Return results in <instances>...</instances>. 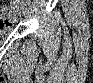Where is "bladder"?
<instances>
[{"mask_svg": "<svg viewBox=\"0 0 93 83\" xmlns=\"http://www.w3.org/2000/svg\"><path fill=\"white\" fill-rule=\"evenodd\" d=\"M11 32V28L10 27H2L1 28V35H8Z\"/></svg>", "mask_w": 93, "mask_h": 83, "instance_id": "31cf9c89", "label": "bladder"}]
</instances>
